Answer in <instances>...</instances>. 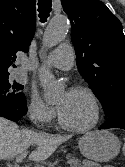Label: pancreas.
Listing matches in <instances>:
<instances>
[{"label": "pancreas", "mask_w": 125, "mask_h": 167, "mask_svg": "<svg viewBox=\"0 0 125 167\" xmlns=\"http://www.w3.org/2000/svg\"><path fill=\"white\" fill-rule=\"evenodd\" d=\"M69 160H72L71 167H80V161L76 158H70ZM105 167H111V166H105Z\"/></svg>", "instance_id": "pancreas-1"}]
</instances>
